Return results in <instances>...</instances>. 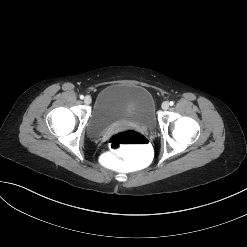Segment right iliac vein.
I'll return each instance as SVG.
<instances>
[{
  "instance_id": "right-iliac-vein-1",
  "label": "right iliac vein",
  "mask_w": 247,
  "mask_h": 247,
  "mask_svg": "<svg viewBox=\"0 0 247 247\" xmlns=\"http://www.w3.org/2000/svg\"><path fill=\"white\" fill-rule=\"evenodd\" d=\"M91 101H92V99H91L90 96H86V97L84 98V103H85L86 105H89V104L91 103Z\"/></svg>"
}]
</instances>
